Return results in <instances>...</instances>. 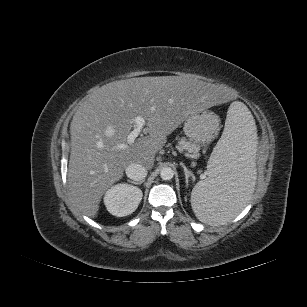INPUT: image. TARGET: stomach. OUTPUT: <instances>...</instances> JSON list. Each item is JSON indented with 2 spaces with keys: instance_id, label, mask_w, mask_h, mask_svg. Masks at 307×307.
I'll return each mask as SVG.
<instances>
[{
  "instance_id": "obj_1",
  "label": "stomach",
  "mask_w": 307,
  "mask_h": 307,
  "mask_svg": "<svg viewBox=\"0 0 307 307\" xmlns=\"http://www.w3.org/2000/svg\"><path fill=\"white\" fill-rule=\"evenodd\" d=\"M219 125V117L213 112L197 111L185 119L183 131L190 142L206 146L216 136Z\"/></svg>"
}]
</instances>
